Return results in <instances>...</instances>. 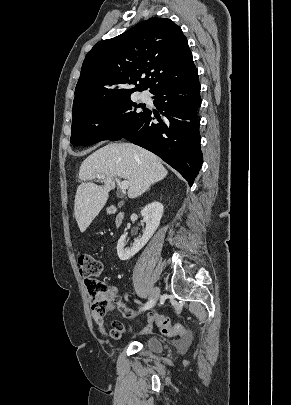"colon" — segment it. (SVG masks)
Masks as SVG:
<instances>
[{"mask_svg":"<svg viewBox=\"0 0 291 405\" xmlns=\"http://www.w3.org/2000/svg\"><path fill=\"white\" fill-rule=\"evenodd\" d=\"M79 271L84 278L88 297L91 301V311L97 315H104L109 308L108 291L110 287L100 280L103 272L102 262L91 254L84 253L78 258ZM161 333L167 337L188 338V332L180 324H171L168 317L158 312L148 315Z\"/></svg>","mask_w":291,"mask_h":405,"instance_id":"5ec220e1","label":"colon"}]
</instances>
